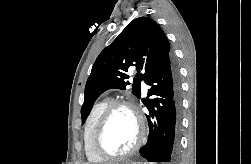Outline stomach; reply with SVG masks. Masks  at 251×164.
Returning <instances> with one entry per match:
<instances>
[{"mask_svg": "<svg viewBox=\"0 0 251 164\" xmlns=\"http://www.w3.org/2000/svg\"><path fill=\"white\" fill-rule=\"evenodd\" d=\"M127 164H142V163H139V162H132V163H127Z\"/></svg>", "mask_w": 251, "mask_h": 164, "instance_id": "stomach-1", "label": "stomach"}]
</instances>
